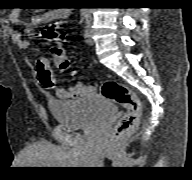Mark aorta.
<instances>
[{
	"label": "aorta",
	"mask_w": 192,
	"mask_h": 180,
	"mask_svg": "<svg viewBox=\"0 0 192 180\" xmlns=\"http://www.w3.org/2000/svg\"><path fill=\"white\" fill-rule=\"evenodd\" d=\"M90 10H91V9H85V11L88 12V13H90Z\"/></svg>",
	"instance_id": "762f6f07"
}]
</instances>
